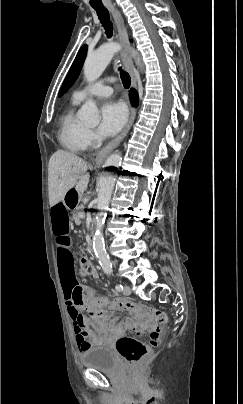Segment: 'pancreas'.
<instances>
[{
  "instance_id": "pancreas-1",
  "label": "pancreas",
  "mask_w": 243,
  "mask_h": 404,
  "mask_svg": "<svg viewBox=\"0 0 243 404\" xmlns=\"http://www.w3.org/2000/svg\"><path fill=\"white\" fill-rule=\"evenodd\" d=\"M77 210H82V206H79V208H77ZM79 214H81V212H79ZM73 217L75 219V225L79 226L80 225V220H79V216L77 213L73 214Z\"/></svg>"
}]
</instances>
